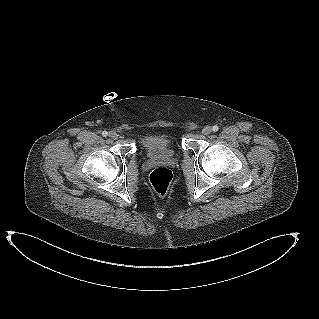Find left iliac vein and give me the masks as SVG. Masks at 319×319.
I'll use <instances>...</instances> for the list:
<instances>
[{"mask_svg":"<svg viewBox=\"0 0 319 319\" xmlns=\"http://www.w3.org/2000/svg\"><path fill=\"white\" fill-rule=\"evenodd\" d=\"M212 132V128L210 126H206L203 128L202 133L204 135H209Z\"/></svg>","mask_w":319,"mask_h":319,"instance_id":"left-iliac-vein-1","label":"left iliac vein"}]
</instances>
